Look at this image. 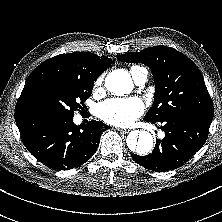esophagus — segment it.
Segmentation results:
<instances>
[{
    "label": "esophagus",
    "instance_id": "34e87169",
    "mask_svg": "<svg viewBox=\"0 0 222 222\" xmlns=\"http://www.w3.org/2000/svg\"><path fill=\"white\" fill-rule=\"evenodd\" d=\"M117 130L119 131V132H121V133H129V131L130 130H128V129H120V128H117Z\"/></svg>",
    "mask_w": 222,
    "mask_h": 222
}]
</instances>
